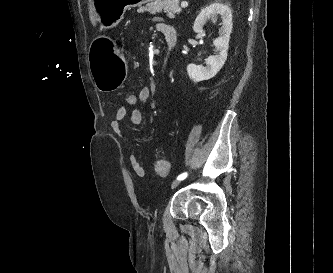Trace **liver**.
Returning a JSON list of instances; mask_svg holds the SVG:
<instances>
[{"mask_svg":"<svg viewBox=\"0 0 333 273\" xmlns=\"http://www.w3.org/2000/svg\"><path fill=\"white\" fill-rule=\"evenodd\" d=\"M89 17L93 26H96L99 20L97 11L95 9L94 0H88Z\"/></svg>","mask_w":333,"mask_h":273,"instance_id":"1","label":"liver"}]
</instances>
